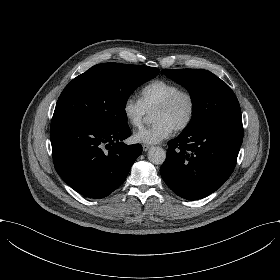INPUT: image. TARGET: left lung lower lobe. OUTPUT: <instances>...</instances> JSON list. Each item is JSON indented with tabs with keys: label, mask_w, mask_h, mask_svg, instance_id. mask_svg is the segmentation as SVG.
<instances>
[{
	"label": "left lung lower lobe",
	"mask_w": 280,
	"mask_h": 280,
	"mask_svg": "<svg viewBox=\"0 0 280 280\" xmlns=\"http://www.w3.org/2000/svg\"><path fill=\"white\" fill-rule=\"evenodd\" d=\"M242 140L241 113L182 132L168 143L161 176L178 196L188 200L204 198L232 174Z\"/></svg>",
	"instance_id": "1"
}]
</instances>
